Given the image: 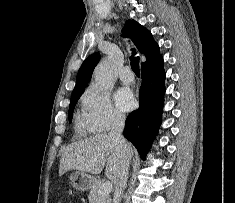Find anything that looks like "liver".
I'll list each match as a JSON object with an SVG mask.
<instances>
[{
	"label": "liver",
	"mask_w": 235,
	"mask_h": 203,
	"mask_svg": "<svg viewBox=\"0 0 235 203\" xmlns=\"http://www.w3.org/2000/svg\"><path fill=\"white\" fill-rule=\"evenodd\" d=\"M129 159L134 155L133 147L128 144ZM125 160L124 152L114 138L102 133L72 143L63 151L59 175L70 170L99 174L106 165L105 175L115 184Z\"/></svg>",
	"instance_id": "1"
}]
</instances>
